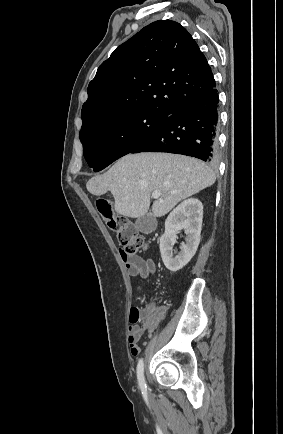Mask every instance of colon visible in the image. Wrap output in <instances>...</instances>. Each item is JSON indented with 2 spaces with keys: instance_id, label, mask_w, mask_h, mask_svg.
<instances>
[{
  "instance_id": "obj_1",
  "label": "colon",
  "mask_w": 283,
  "mask_h": 434,
  "mask_svg": "<svg viewBox=\"0 0 283 434\" xmlns=\"http://www.w3.org/2000/svg\"><path fill=\"white\" fill-rule=\"evenodd\" d=\"M96 208L102 216L108 227L117 234L122 251L128 255H135L147 246V241L138 233L131 222L124 216L117 215L112 208L110 201L100 199L96 202ZM158 317V311L152 310L147 312L138 307L130 310V323L136 325L144 321L145 325H155Z\"/></svg>"
}]
</instances>
